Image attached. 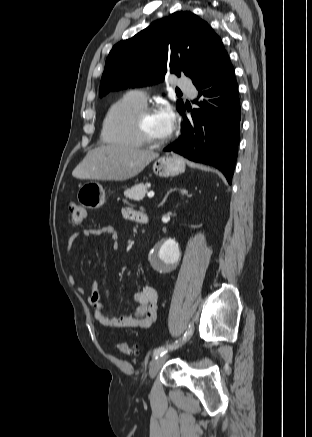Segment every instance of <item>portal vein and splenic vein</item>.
<instances>
[{
  "instance_id": "1",
  "label": "portal vein and splenic vein",
  "mask_w": 312,
  "mask_h": 437,
  "mask_svg": "<svg viewBox=\"0 0 312 437\" xmlns=\"http://www.w3.org/2000/svg\"><path fill=\"white\" fill-rule=\"evenodd\" d=\"M147 196H148L149 198H152V197H154V192H153V191H151V192H148V193H147Z\"/></svg>"
}]
</instances>
